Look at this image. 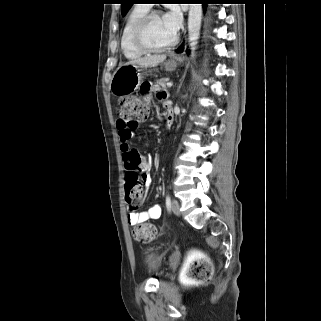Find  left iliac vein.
<instances>
[{"label":"left iliac vein","mask_w":321,"mask_h":321,"mask_svg":"<svg viewBox=\"0 0 321 321\" xmlns=\"http://www.w3.org/2000/svg\"><path fill=\"white\" fill-rule=\"evenodd\" d=\"M171 209L175 215H180V204L177 200H172Z\"/></svg>","instance_id":"1"}]
</instances>
